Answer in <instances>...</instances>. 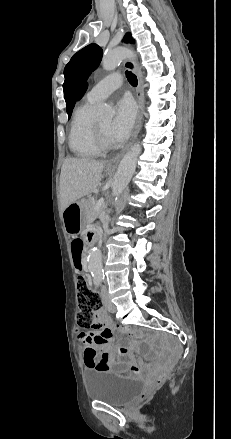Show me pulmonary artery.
I'll return each instance as SVG.
<instances>
[{
  "label": "pulmonary artery",
  "instance_id": "1",
  "mask_svg": "<svg viewBox=\"0 0 231 439\" xmlns=\"http://www.w3.org/2000/svg\"><path fill=\"white\" fill-rule=\"evenodd\" d=\"M123 76L120 73H111L95 84L87 93V99L99 102L107 98L113 91L123 84Z\"/></svg>",
  "mask_w": 231,
  "mask_h": 439
}]
</instances>
